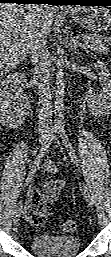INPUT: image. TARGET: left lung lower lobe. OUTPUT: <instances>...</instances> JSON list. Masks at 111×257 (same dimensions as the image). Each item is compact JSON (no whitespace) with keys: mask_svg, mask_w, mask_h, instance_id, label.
<instances>
[{"mask_svg":"<svg viewBox=\"0 0 111 257\" xmlns=\"http://www.w3.org/2000/svg\"><path fill=\"white\" fill-rule=\"evenodd\" d=\"M74 5L94 6L100 4L101 6H111V0H70Z\"/></svg>","mask_w":111,"mask_h":257,"instance_id":"obj_1","label":"left lung lower lobe"}]
</instances>
